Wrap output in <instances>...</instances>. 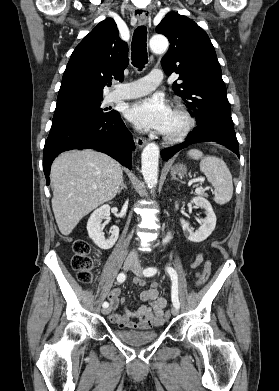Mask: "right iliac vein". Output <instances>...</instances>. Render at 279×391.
<instances>
[{"label": "right iliac vein", "instance_id": "1", "mask_svg": "<svg viewBox=\"0 0 279 391\" xmlns=\"http://www.w3.org/2000/svg\"><path fill=\"white\" fill-rule=\"evenodd\" d=\"M134 264H135V259H134V257L128 256V257H126V259L124 260L123 269H124L125 271H127V270H129ZM110 311H111V308H110V307H109V308H104V309H102V314L107 315V314L110 313Z\"/></svg>", "mask_w": 279, "mask_h": 391}]
</instances>
